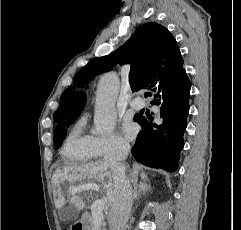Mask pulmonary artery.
<instances>
[{"label":"pulmonary artery","mask_w":241,"mask_h":230,"mask_svg":"<svg viewBox=\"0 0 241 230\" xmlns=\"http://www.w3.org/2000/svg\"><path fill=\"white\" fill-rule=\"evenodd\" d=\"M130 106L136 110L141 109L145 106V102L140 98H136L130 101Z\"/></svg>","instance_id":"e3ab8cb5"}]
</instances>
